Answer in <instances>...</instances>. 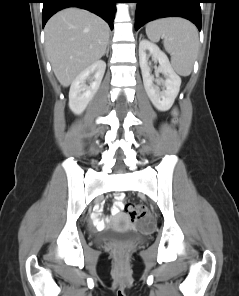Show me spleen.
<instances>
[{
	"label": "spleen",
	"instance_id": "1",
	"mask_svg": "<svg viewBox=\"0 0 239 296\" xmlns=\"http://www.w3.org/2000/svg\"><path fill=\"white\" fill-rule=\"evenodd\" d=\"M146 34L152 41L163 37L174 70L181 76L191 74L199 49L198 32L192 23L179 18L159 19L147 24Z\"/></svg>",
	"mask_w": 239,
	"mask_h": 296
}]
</instances>
